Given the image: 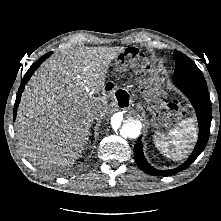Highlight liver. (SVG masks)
Here are the masks:
<instances>
[{"label":"liver","instance_id":"liver-1","mask_svg":"<svg viewBox=\"0 0 221 221\" xmlns=\"http://www.w3.org/2000/svg\"><path fill=\"white\" fill-rule=\"evenodd\" d=\"M124 47H85L46 60L27 84L16 119L24 155L45 166H71L89 129L108 112L102 91L111 61Z\"/></svg>","mask_w":221,"mask_h":221}]
</instances>
